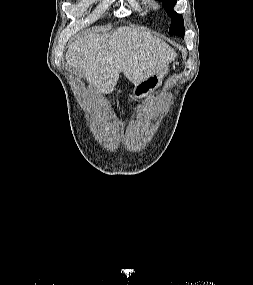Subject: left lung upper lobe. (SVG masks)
<instances>
[{
    "instance_id": "1",
    "label": "left lung upper lobe",
    "mask_w": 253,
    "mask_h": 285,
    "mask_svg": "<svg viewBox=\"0 0 253 285\" xmlns=\"http://www.w3.org/2000/svg\"><path fill=\"white\" fill-rule=\"evenodd\" d=\"M161 1H163V4L166 7L168 15L172 18V24L169 29V34L184 37L185 29H184L183 17L181 14H177L173 10V7L175 6L177 0H161Z\"/></svg>"
}]
</instances>
